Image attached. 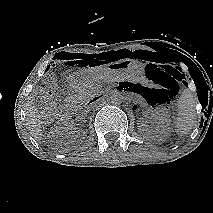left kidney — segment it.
Listing matches in <instances>:
<instances>
[{"mask_svg": "<svg viewBox=\"0 0 213 213\" xmlns=\"http://www.w3.org/2000/svg\"><path fill=\"white\" fill-rule=\"evenodd\" d=\"M151 116L157 120L155 127L151 128L146 121L141 120L139 131L144 135L157 138L167 137L170 133V119L165 108H157L151 111Z\"/></svg>", "mask_w": 213, "mask_h": 213, "instance_id": "left-kidney-1", "label": "left kidney"}]
</instances>
